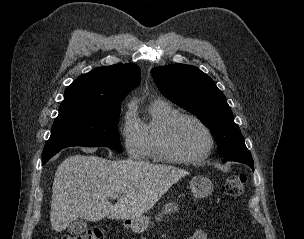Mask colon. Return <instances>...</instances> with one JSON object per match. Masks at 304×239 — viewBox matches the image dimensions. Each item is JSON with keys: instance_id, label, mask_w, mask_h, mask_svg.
Here are the masks:
<instances>
[{"instance_id": "5ec220e1", "label": "colon", "mask_w": 304, "mask_h": 239, "mask_svg": "<svg viewBox=\"0 0 304 239\" xmlns=\"http://www.w3.org/2000/svg\"><path fill=\"white\" fill-rule=\"evenodd\" d=\"M246 177L244 175H235L228 178L224 185L226 195L230 197L240 196L245 189ZM106 230L104 228H91L76 235H64L59 239H104Z\"/></svg>"}]
</instances>
